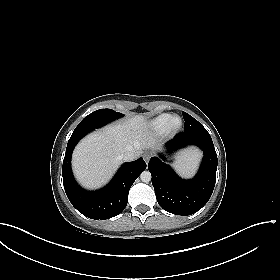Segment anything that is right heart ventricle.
Returning a JSON list of instances; mask_svg holds the SVG:
<instances>
[{"mask_svg":"<svg viewBox=\"0 0 280 280\" xmlns=\"http://www.w3.org/2000/svg\"><path fill=\"white\" fill-rule=\"evenodd\" d=\"M171 116L170 114L164 113L150 119L145 124V130L153 134H162L165 132L166 125Z\"/></svg>","mask_w":280,"mask_h":280,"instance_id":"right-heart-ventricle-1","label":"right heart ventricle"}]
</instances>
